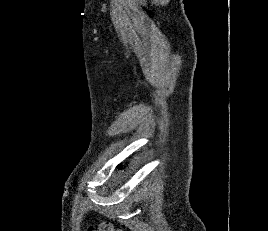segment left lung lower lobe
Returning <instances> with one entry per match:
<instances>
[{
	"label": "left lung lower lobe",
	"mask_w": 268,
	"mask_h": 231,
	"mask_svg": "<svg viewBox=\"0 0 268 231\" xmlns=\"http://www.w3.org/2000/svg\"><path fill=\"white\" fill-rule=\"evenodd\" d=\"M118 168H121V166H120V165H118Z\"/></svg>",
	"instance_id": "0a47b994"
}]
</instances>
